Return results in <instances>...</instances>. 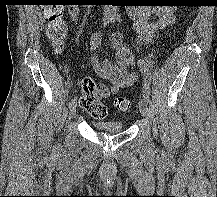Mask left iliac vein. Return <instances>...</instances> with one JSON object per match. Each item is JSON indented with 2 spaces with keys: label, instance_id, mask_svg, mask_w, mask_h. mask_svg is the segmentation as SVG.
<instances>
[{
  "label": "left iliac vein",
  "instance_id": "4c4485c4",
  "mask_svg": "<svg viewBox=\"0 0 217 197\" xmlns=\"http://www.w3.org/2000/svg\"><path fill=\"white\" fill-rule=\"evenodd\" d=\"M139 111L143 116H147L148 115V105H147V101L144 98H141L139 101Z\"/></svg>",
  "mask_w": 217,
  "mask_h": 197
}]
</instances>
